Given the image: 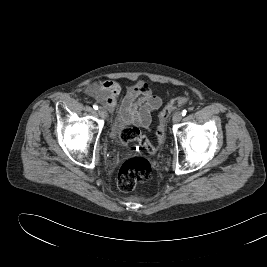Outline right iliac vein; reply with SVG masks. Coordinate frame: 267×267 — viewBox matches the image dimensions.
Returning <instances> with one entry per match:
<instances>
[{
    "label": "right iliac vein",
    "mask_w": 267,
    "mask_h": 267,
    "mask_svg": "<svg viewBox=\"0 0 267 267\" xmlns=\"http://www.w3.org/2000/svg\"><path fill=\"white\" fill-rule=\"evenodd\" d=\"M98 114L100 115V117L102 118H106L108 116V113L106 111L105 108L103 107H100L99 110H98Z\"/></svg>",
    "instance_id": "1"
}]
</instances>
